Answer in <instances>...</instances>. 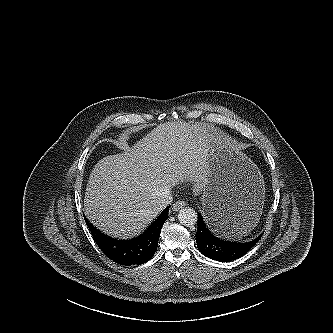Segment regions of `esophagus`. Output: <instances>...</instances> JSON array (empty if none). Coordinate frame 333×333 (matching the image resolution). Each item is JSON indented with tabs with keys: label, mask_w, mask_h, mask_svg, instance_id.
Instances as JSON below:
<instances>
[{
	"label": "esophagus",
	"mask_w": 333,
	"mask_h": 333,
	"mask_svg": "<svg viewBox=\"0 0 333 333\" xmlns=\"http://www.w3.org/2000/svg\"><path fill=\"white\" fill-rule=\"evenodd\" d=\"M186 205V203L184 201H177L176 203H174L172 205V209L174 211H178L180 210L181 208H183L184 206Z\"/></svg>",
	"instance_id": "esophagus-1"
}]
</instances>
